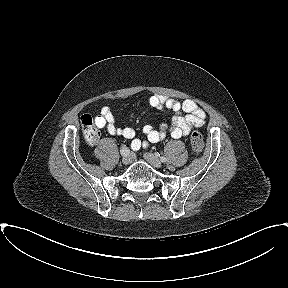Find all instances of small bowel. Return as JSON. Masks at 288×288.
Masks as SVG:
<instances>
[{"mask_svg":"<svg viewBox=\"0 0 288 288\" xmlns=\"http://www.w3.org/2000/svg\"><path fill=\"white\" fill-rule=\"evenodd\" d=\"M150 107L158 110H167L171 114L170 123L162 124L159 129L152 125H145L143 133L146 140L136 138L134 129L120 127L116 123L114 114L109 107H103L95 118V124L99 128H105L111 135L131 140V148L138 151L147 147L149 143L162 141L167 134L175 139L187 136L193 127H202L205 123L206 114L193 100L178 101L163 95L151 96L148 100ZM185 114V115H184Z\"/></svg>","mask_w":288,"mask_h":288,"instance_id":"small-bowel-1","label":"small bowel"}]
</instances>
